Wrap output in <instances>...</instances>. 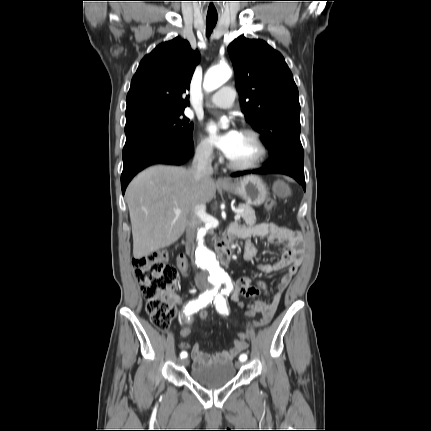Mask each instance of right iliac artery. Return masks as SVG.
Returning a JSON list of instances; mask_svg holds the SVG:
<instances>
[{
    "mask_svg": "<svg viewBox=\"0 0 431 431\" xmlns=\"http://www.w3.org/2000/svg\"><path fill=\"white\" fill-rule=\"evenodd\" d=\"M219 287V284H217V287L214 290L206 291L199 295L198 299L190 301L184 309L185 315L190 319V316L199 311V309L205 307L207 304L212 302L214 294L217 292ZM181 358H186L187 353L181 352L180 354Z\"/></svg>",
    "mask_w": 431,
    "mask_h": 431,
    "instance_id": "1",
    "label": "right iliac artery"
}]
</instances>
